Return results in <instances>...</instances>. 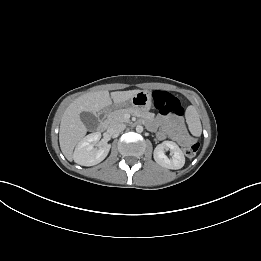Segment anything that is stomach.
Returning <instances> with one entry per match:
<instances>
[{
    "label": "stomach",
    "mask_w": 261,
    "mask_h": 261,
    "mask_svg": "<svg viewBox=\"0 0 261 261\" xmlns=\"http://www.w3.org/2000/svg\"><path fill=\"white\" fill-rule=\"evenodd\" d=\"M152 95L149 91L141 90L128 101L119 104L125 107H133L141 111H148L151 108Z\"/></svg>",
    "instance_id": "1"
}]
</instances>
